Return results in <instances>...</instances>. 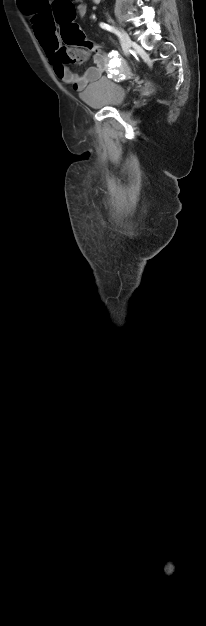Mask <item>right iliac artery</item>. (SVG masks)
I'll use <instances>...</instances> for the list:
<instances>
[{
    "label": "right iliac artery",
    "instance_id": "1",
    "mask_svg": "<svg viewBox=\"0 0 206 626\" xmlns=\"http://www.w3.org/2000/svg\"><path fill=\"white\" fill-rule=\"evenodd\" d=\"M100 27L102 29H105V30H108V31H110L112 33H115L120 38V32L117 29H115L114 27H112V26H110V25H108V24H106L104 22L100 23Z\"/></svg>",
    "mask_w": 206,
    "mask_h": 626
}]
</instances>
